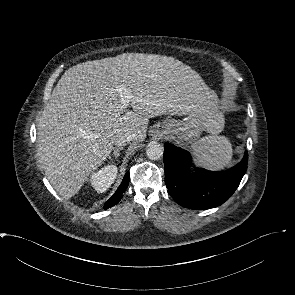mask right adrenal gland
Wrapping results in <instances>:
<instances>
[{"label": "right adrenal gland", "instance_id": "right-adrenal-gland-1", "mask_svg": "<svg viewBox=\"0 0 295 295\" xmlns=\"http://www.w3.org/2000/svg\"><path fill=\"white\" fill-rule=\"evenodd\" d=\"M121 150H123V147L121 146V147H116V148H114V151H113V156L115 157V158H117L119 155H120V151ZM111 155L110 156H108V158L109 159H111Z\"/></svg>", "mask_w": 295, "mask_h": 295}]
</instances>
